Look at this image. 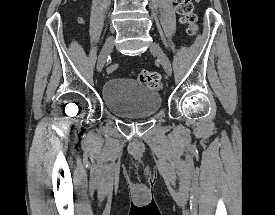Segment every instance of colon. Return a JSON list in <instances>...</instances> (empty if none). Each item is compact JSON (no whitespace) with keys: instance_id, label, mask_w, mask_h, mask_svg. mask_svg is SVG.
Returning a JSON list of instances; mask_svg holds the SVG:
<instances>
[{"instance_id":"colon-1","label":"colon","mask_w":275,"mask_h":215,"mask_svg":"<svg viewBox=\"0 0 275 215\" xmlns=\"http://www.w3.org/2000/svg\"><path fill=\"white\" fill-rule=\"evenodd\" d=\"M176 10L181 15L182 21L189 25L188 34L193 35L196 27V15L194 14V1L193 0H175ZM117 70L116 64H111L107 71L113 73ZM139 82L147 85L149 88L159 90L162 88V77L158 72L151 70H141L138 73Z\"/></svg>"}]
</instances>
